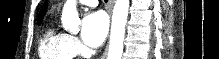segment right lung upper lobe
Returning <instances> with one entry per match:
<instances>
[{"label": "right lung upper lobe", "instance_id": "right-lung-upper-lobe-1", "mask_svg": "<svg viewBox=\"0 0 219 59\" xmlns=\"http://www.w3.org/2000/svg\"><path fill=\"white\" fill-rule=\"evenodd\" d=\"M46 9H47V6L44 5L39 13V16H38V24H41L42 20H43V16L46 12Z\"/></svg>", "mask_w": 219, "mask_h": 59}]
</instances>
